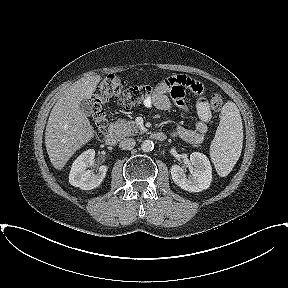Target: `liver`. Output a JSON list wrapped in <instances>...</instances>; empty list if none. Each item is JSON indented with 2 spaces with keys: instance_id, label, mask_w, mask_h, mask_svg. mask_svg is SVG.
I'll use <instances>...</instances> for the list:
<instances>
[{
  "instance_id": "6515ba94",
  "label": "liver",
  "mask_w": 288,
  "mask_h": 288,
  "mask_svg": "<svg viewBox=\"0 0 288 288\" xmlns=\"http://www.w3.org/2000/svg\"><path fill=\"white\" fill-rule=\"evenodd\" d=\"M100 80V75L79 79L63 92L52 108L46 125L45 145L52 165L58 170L95 135L80 103L92 97Z\"/></svg>"
}]
</instances>
